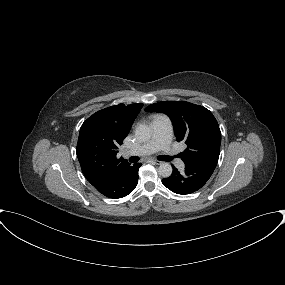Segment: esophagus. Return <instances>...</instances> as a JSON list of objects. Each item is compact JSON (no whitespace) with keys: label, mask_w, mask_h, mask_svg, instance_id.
<instances>
[{"label":"esophagus","mask_w":285,"mask_h":285,"mask_svg":"<svg viewBox=\"0 0 285 285\" xmlns=\"http://www.w3.org/2000/svg\"><path fill=\"white\" fill-rule=\"evenodd\" d=\"M152 162H154L155 164H157V165H159V164H161L162 162L161 161H159V160H151Z\"/></svg>","instance_id":"obj_1"}]
</instances>
